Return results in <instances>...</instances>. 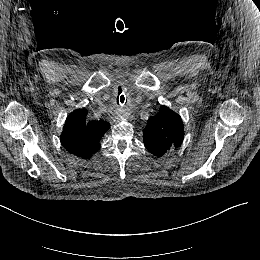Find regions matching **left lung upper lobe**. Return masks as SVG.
<instances>
[{"instance_id":"1","label":"left lung upper lobe","mask_w":260,"mask_h":260,"mask_svg":"<svg viewBox=\"0 0 260 260\" xmlns=\"http://www.w3.org/2000/svg\"><path fill=\"white\" fill-rule=\"evenodd\" d=\"M183 138L181 117L167 106H161L158 113L149 118L143 130L145 146L157 157L176 150L182 144Z\"/></svg>"}]
</instances>
